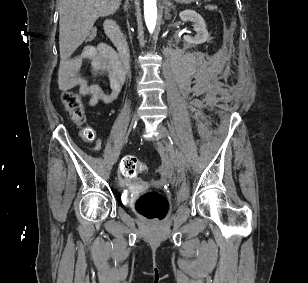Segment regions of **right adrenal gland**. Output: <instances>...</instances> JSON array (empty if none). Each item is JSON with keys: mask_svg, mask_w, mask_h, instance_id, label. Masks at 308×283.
<instances>
[{"mask_svg": "<svg viewBox=\"0 0 308 283\" xmlns=\"http://www.w3.org/2000/svg\"><path fill=\"white\" fill-rule=\"evenodd\" d=\"M129 1H132V0H125L124 2V9L127 11L128 8H129Z\"/></svg>", "mask_w": 308, "mask_h": 283, "instance_id": "obj_1", "label": "right adrenal gland"}]
</instances>
